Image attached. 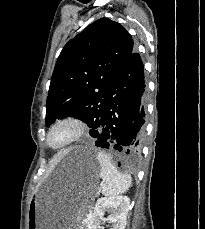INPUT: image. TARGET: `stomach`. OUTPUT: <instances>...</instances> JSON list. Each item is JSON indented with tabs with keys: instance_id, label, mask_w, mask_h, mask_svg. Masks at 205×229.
<instances>
[{
	"instance_id": "stomach-1",
	"label": "stomach",
	"mask_w": 205,
	"mask_h": 229,
	"mask_svg": "<svg viewBox=\"0 0 205 229\" xmlns=\"http://www.w3.org/2000/svg\"><path fill=\"white\" fill-rule=\"evenodd\" d=\"M73 155L79 159L82 194L74 203L68 202L66 195L37 196L29 205L27 229H83L82 219L94 197L100 165L93 149L77 146L65 157Z\"/></svg>"
}]
</instances>
